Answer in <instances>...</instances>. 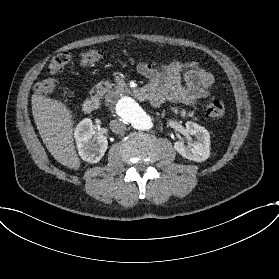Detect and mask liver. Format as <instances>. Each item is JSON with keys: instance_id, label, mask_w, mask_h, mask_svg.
<instances>
[{"instance_id": "liver-1", "label": "liver", "mask_w": 279, "mask_h": 279, "mask_svg": "<svg viewBox=\"0 0 279 279\" xmlns=\"http://www.w3.org/2000/svg\"><path fill=\"white\" fill-rule=\"evenodd\" d=\"M32 111L40 137L53 158L69 169L79 170L73 112L65 103L39 92L32 95Z\"/></svg>"}]
</instances>
